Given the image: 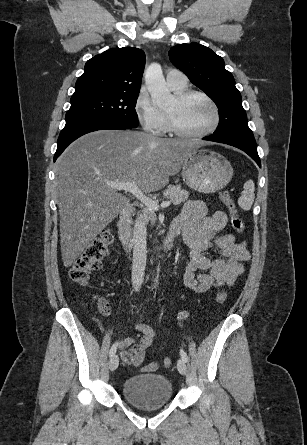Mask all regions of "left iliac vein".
<instances>
[{
  "mask_svg": "<svg viewBox=\"0 0 307 445\" xmlns=\"http://www.w3.org/2000/svg\"><path fill=\"white\" fill-rule=\"evenodd\" d=\"M177 368L180 374L185 375L187 371L186 363L183 359H179L177 362Z\"/></svg>",
  "mask_w": 307,
  "mask_h": 445,
  "instance_id": "obj_1",
  "label": "left iliac vein"
}]
</instances>
